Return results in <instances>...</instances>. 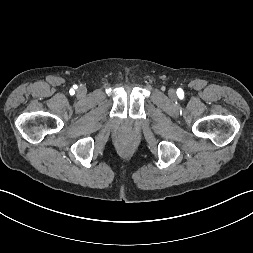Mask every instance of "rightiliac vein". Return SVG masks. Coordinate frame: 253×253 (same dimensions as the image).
Returning <instances> with one entry per match:
<instances>
[{"instance_id":"right-iliac-vein-1","label":"right iliac vein","mask_w":253,"mask_h":253,"mask_svg":"<svg viewBox=\"0 0 253 253\" xmlns=\"http://www.w3.org/2000/svg\"><path fill=\"white\" fill-rule=\"evenodd\" d=\"M77 93H78L79 96H84L86 94V89L84 87H80L77 90Z\"/></svg>"}]
</instances>
